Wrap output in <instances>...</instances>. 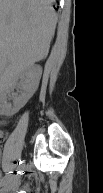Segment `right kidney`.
Instances as JSON below:
<instances>
[{"instance_id": "right-kidney-1", "label": "right kidney", "mask_w": 103, "mask_h": 193, "mask_svg": "<svg viewBox=\"0 0 103 193\" xmlns=\"http://www.w3.org/2000/svg\"><path fill=\"white\" fill-rule=\"evenodd\" d=\"M41 74V67L33 65L11 78L7 83H1L0 108L3 115L13 116L27 103L38 88ZM16 87L22 90L19 96L13 93ZM8 96L13 99V104L7 102Z\"/></svg>"}]
</instances>
